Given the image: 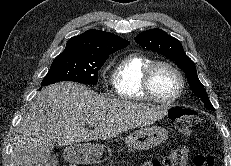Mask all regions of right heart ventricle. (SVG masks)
<instances>
[{
	"label": "right heart ventricle",
	"mask_w": 231,
	"mask_h": 166,
	"mask_svg": "<svg viewBox=\"0 0 231 166\" xmlns=\"http://www.w3.org/2000/svg\"><path fill=\"white\" fill-rule=\"evenodd\" d=\"M152 62V58L141 53H131L123 57L112 73L115 94L124 100H147L142 88V78L145 69Z\"/></svg>",
	"instance_id": "e07e8e85"
}]
</instances>
